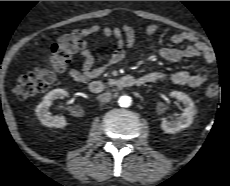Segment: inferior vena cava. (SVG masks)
Segmentation results:
<instances>
[{
  "label": "inferior vena cava",
  "instance_id": "602c4592",
  "mask_svg": "<svg viewBox=\"0 0 230 186\" xmlns=\"http://www.w3.org/2000/svg\"><path fill=\"white\" fill-rule=\"evenodd\" d=\"M97 99L102 103H107L112 99V94L110 92H104L100 94Z\"/></svg>",
  "mask_w": 230,
  "mask_h": 186
}]
</instances>
